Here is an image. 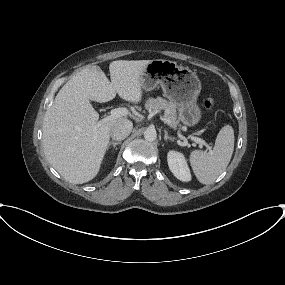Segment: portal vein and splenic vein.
Returning <instances> with one entry per match:
<instances>
[{
  "label": "portal vein and splenic vein",
  "instance_id": "obj_1",
  "mask_svg": "<svg viewBox=\"0 0 285 285\" xmlns=\"http://www.w3.org/2000/svg\"><path fill=\"white\" fill-rule=\"evenodd\" d=\"M129 112L126 108H116L112 109L110 112V116L107 118L108 120H113L122 116L127 115ZM181 137V136H180ZM191 139L199 144L200 146H205L207 150L211 151V147L206 143L205 140L198 137H191Z\"/></svg>",
  "mask_w": 285,
  "mask_h": 285
}]
</instances>
